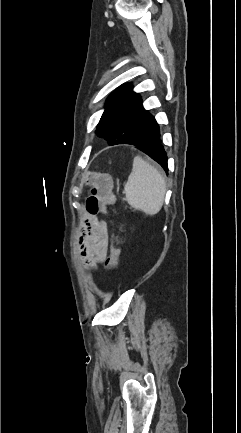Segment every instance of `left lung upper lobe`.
Listing matches in <instances>:
<instances>
[{
    "mask_svg": "<svg viewBox=\"0 0 241 433\" xmlns=\"http://www.w3.org/2000/svg\"><path fill=\"white\" fill-rule=\"evenodd\" d=\"M155 122L143 108L139 94L132 91L131 85L124 84L107 98L96 133L110 145L125 144L146 133Z\"/></svg>",
    "mask_w": 241,
    "mask_h": 433,
    "instance_id": "left-lung-upper-lobe-1",
    "label": "left lung upper lobe"
}]
</instances>
